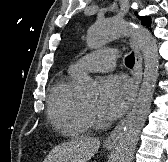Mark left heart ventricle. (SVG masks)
I'll list each match as a JSON object with an SVG mask.
<instances>
[{
	"mask_svg": "<svg viewBox=\"0 0 168 162\" xmlns=\"http://www.w3.org/2000/svg\"><path fill=\"white\" fill-rule=\"evenodd\" d=\"M85 105L91 108L94 107L95 99L85 102Z\"/></svg>",
	"mask_w": 168,
	"mask_h": 162,
	"instance_id": "obj_1",
	"label": "left heart ventricle"
}]
</instances>
